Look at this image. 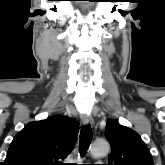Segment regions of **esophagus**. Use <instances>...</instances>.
I'll return each instance as SVG.
<instances>
[{
  "label": "esophagus",
  "mask_w": 165,
  "mask_h": 165,
  "mask_svg": "<svg viewBox=\"0 0 165 165\" xmlns=\"http://www.w3.org/2000/svg\"><path fill=\"white\" fill-rule=\"evenodd\" d=\"M81 121L85 126H88L93 123V119L90 115L82 114L81 115Z\"/></svg>",
  "instance_id": "34e87169"
}]
</instances>
